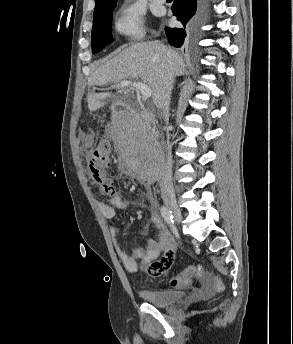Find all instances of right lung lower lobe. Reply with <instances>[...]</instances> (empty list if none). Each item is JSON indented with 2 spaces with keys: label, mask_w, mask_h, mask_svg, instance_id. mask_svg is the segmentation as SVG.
Wrapping results in <instances>:
<instances>
[{
  "label": "right lung lower lobe",
  "mask_w": 293,
  "mask_h": 344,
  "mask_svg": "<svg viewBox=\"0 0 293 344\" xmlns=\"http://www.w3.org/2000/svg\"><path fill=\"white\" fill-rule=\"evenodd\" d=\"M204 0H174L172 5L173 15L183 24L184 28H168L166 27V36L168 41L174 47H181L188 39L189 31L185 29L186 25L198 23L202 18L201 3Z\"/></svg>",
  "instance_id": "98d812e1"
}]
</instances>
